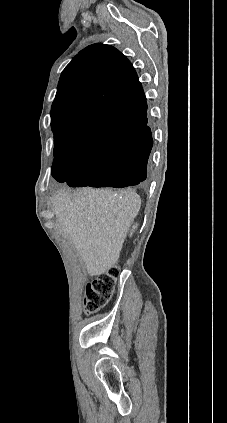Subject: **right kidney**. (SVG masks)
<instances>
[{
	"label": "right kidney",
	"instance_id": "1",
	"mask_svg": "<svg viewBox=\"0 0 227 423\" xmlns=\"http://www.w3.org/2000/svg\"><path fill=\"white\" fill-rule=\"evenodd\" d=\"M136 227H138V223H134V225H132V229H131V231H130V235H133V233H134V231H135Z\"/></svg>",
	"mask_w": 227,
	"mask_h": 423
}]
</instances>
